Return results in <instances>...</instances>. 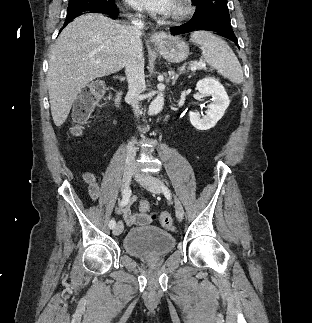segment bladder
<instances>
[{"instance_id":"31cf9c89","label":"bladder","mask_w":312,"mask_h":323,"mask_svg":"<svg viewBox=\"0 0 312 323\" xmlns=\"http://www.w3.org/2000/svg\"><path fill=\"white\" fill-rule=\"evenodd\" d=\"M175 244V238L159 227L146 226L130 229L124 238V250L132 257L153 259L165 256Z\"/></svg>"}]
</instances>
